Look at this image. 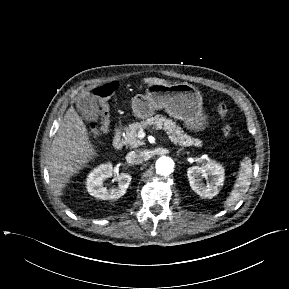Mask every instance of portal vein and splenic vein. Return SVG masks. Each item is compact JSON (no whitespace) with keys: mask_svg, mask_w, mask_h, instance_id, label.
Here are the masks:
<instances>
[{"mask_svg":"<svg viewBox=\"0 0 289 289\" xmlns=\"http://www.w3.org/2000/svg\"><path fill=\"white\" fill-rule=\"evenodd\" d=\"M138 137L141 139V138H144L145 137V132L143 130H140L138 132Z\"/></svg>","mask_w":289,"mask_h":289,"instance_id":"obj_1","label":"portal vein and splenic vein"}]
</instances>
